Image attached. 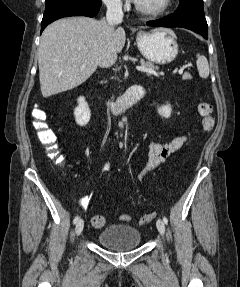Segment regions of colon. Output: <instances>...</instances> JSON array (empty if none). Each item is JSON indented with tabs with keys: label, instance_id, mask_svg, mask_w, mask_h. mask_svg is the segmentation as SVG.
I'll list each match as a JSON object with an SVG mask.
<instances>
[{
	"label": "colon",
	"instance_id": "obj_1",
	"mask_svg": "<svg viewBox=\"0 0 240 287\" xmlns=\"http://www.w3.org/2000/svg\"><path fill=\"white\" fill-rule=\"evenodd\" d=\"M198 113L201 117V125L204 132H210L214 126V118L212 116L213 108L212 105L205 101L200 100L197 106ZM32 125L37 132V137L39 141L45 145L49 150L52 151V156L60 161L61 157L56 151V136L54 132L48 127L46 123V114L40 108H34L32 110ZM156 217V213H148L141 218L138 222L140 224H145L153 221ZM119 219L121 221H130L131 216L129 215H120ZM91 224L95 228H101L105 224V218L103 216L97 215L91 219Z\"/></svg>",
	"mask_w": 240,
	"mask_h": 287
}]
</instances>
